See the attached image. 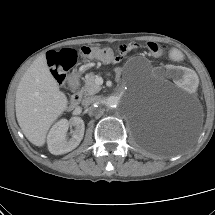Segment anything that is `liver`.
<instances>
[{"label": "liver", "instance_id": "liver-1", "mask_svg": "<svg viewBox=\"0 0 215 215\" xmlns=\"http://www.w3.org/2000/svg\"><path fill=\"white\" fill-rule=\"evenodd\" d=\"M67 105L68 99L59 90L46 56L38 57L22 76L16 91V118L25 137L32 144L43 146L49 128Z\"/></svg>", "mask_w": 215, "mask_h": 215}]
</instances>
